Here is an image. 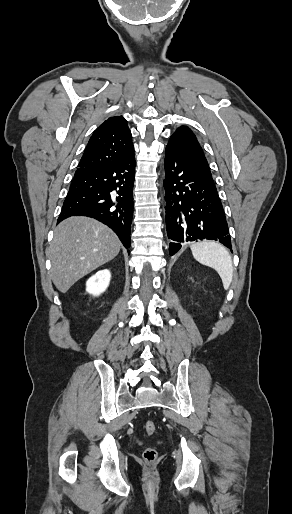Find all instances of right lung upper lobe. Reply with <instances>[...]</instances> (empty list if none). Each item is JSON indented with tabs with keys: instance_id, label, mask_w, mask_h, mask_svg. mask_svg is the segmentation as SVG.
<instances>
[{
	"instance_id": "1",
	"label": "right lung upper lobe",
	"mask_w": 292,
	"mask_h": 514,
	"mask_svg": "<svg viewBox=\"0 0 292 514\" xmlns=\"http://www.w3.org/2000/svg\"><path fill=\"white\" fill-rule=\"evenodd\" d=\"M131 137L123 116L110 117L94 131L78 167H104L132 156L134 146Z\"/></svg>"
}]
</instances>
